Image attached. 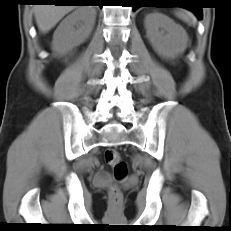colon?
<instances>
[{"label":"colon","mask_w":231,"mask_h":231,"mask_svg":"<svg viewBox=\"0 0 231 231\" xmlns=\"http://www.w3.org/2000/svg\"><path fill=\"white\" fill-rule=\"evenodd\" d=\"M105 160L112 167L114 175L118 180L123 179L127 175V165L118 151L114 149L106 150ZM109 195L113 201H118L121 197V192L118 188L113 187L110 189Z\"/></svg>","instance_id":"colon-1"}]
</instances>
